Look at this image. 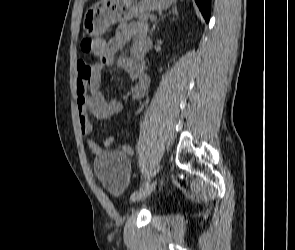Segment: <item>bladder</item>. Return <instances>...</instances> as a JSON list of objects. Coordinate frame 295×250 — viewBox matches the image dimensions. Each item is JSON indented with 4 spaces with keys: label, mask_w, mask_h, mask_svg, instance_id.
Wrapping results in <instances>:
<instances>
[{
    "label": "bladder",
    "mask_w": 295,
    "mask_h": 250,
    "mask_svg": "<svg viewBox=\"0 0 295 250\" xmlns=\"http://www.w3.org/2000/svg\"><path fill=\"white\" fill-rule=\"evenodd\" d=\"M95 175L104 188L112 194H121L129 174L128 157L116 150L103 151L94 161Z\"/></svg>",
    "instance_id": "31cf9c89"
}]
</instances>
